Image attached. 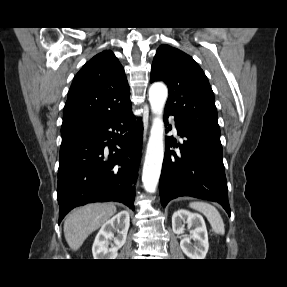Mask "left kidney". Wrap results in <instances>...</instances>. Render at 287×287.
Wrapping results in <instances>:
<instances>
[{
  "label": "left kidney",
  "instance_id": "left-kidney-1",
  "mask_svg": "<svg viewBox=\"0 0 287 287\" xmlns=\"http://www.w3.org/2000/svg\"><path fill=\"white\" fill-rule=\"evenodd\" d=\"M193 226L190 236L184 235L180 242L183 253L190 259H204L209 248L208 233L203 217L187 210H178L172 216V229L175 234L184 233V223ZM191 239L194 243H191Z\"/></svg>",
  "mask_w": 287,
  "mask_h": 287
}]
</instances>
